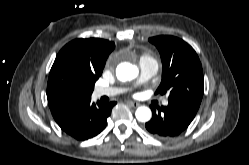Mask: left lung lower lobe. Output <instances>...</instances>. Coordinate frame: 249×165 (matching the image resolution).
Returning a JSON list of instances; mask_svg holds the SVG:
<instances>
[{"instance_id":"1","label":"left lung lower lobe","mask_w":249,"mask_h":165,"mask_svg":"<svg viewBox=\"0 0 249 165\" xmlns=\"http://www.w3.org/2000/svg\"><path fill=\"white\" fill-rule=\"evenodd\" d=\"M152 109V119L145 124L146 129L160 138H171L182 133L194 119L198 109L189 105L169 101L167 106Z\"/></svg>"}]
</instances>
